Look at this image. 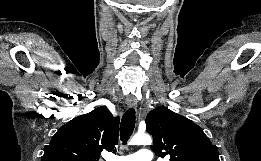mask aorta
Instances as JSON below:
<instances>
[{
    "label": "aorta",
    "instance_id": "762f6f07",
    "mask_svg": "<svg viewBox=\"0 0 261 161\" xmlns=\"http://www.w3.org/2000/svg\"><path fill=\"white\" fill-rule=\"evenodd\" d=\"M152 142L151 137L145 133H137L130 141L131 145H150Z\"/></svg>",
    "mask_w": 261,
    "mask_h": 161
}]
</instances>
